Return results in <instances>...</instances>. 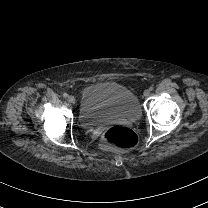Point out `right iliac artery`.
<instances>
[{
    "label": "right iliac artery",
    "instance_id": "right-iliac-artery-1",
    "mask_svg": "<svg viewBox=\"0 0 208 208\" xmlns=\"http://www.w3.org/2000/svg\"><path fill=\"white\" fill-rule=\"evenodd\" d=\"M63 97H64V98H67V97H68V94H67V93H64V94H63Z\"/></svg>",
    "mask_w": 208,
    "mask_h": 208
}]
</instances>
